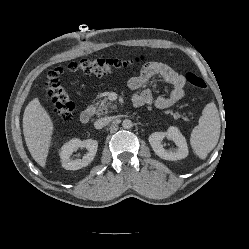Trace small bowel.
<instances>
[{"instance_id": "1", "label": "small bowel", "mask_w": 249, "mask_h": 249, "mask_svg": "<svg viewBox=\"0 0 249 249\" xmlns=\"http://www.w3.org/2000/svg\"><path fill=\"white\" fill-rule=\"evenodd\" d=\"M153 76H160L173 86L168 95H160L153 99L151 90L145 88L133 97L135 106L140 107L145 104L154 103L160 109L174 106L182 100L185 95V77L163 62L152 61L146 63L138 75L130 77L127 81L131 90H139L144 87Z\"/></svg>"}]
</instances>
